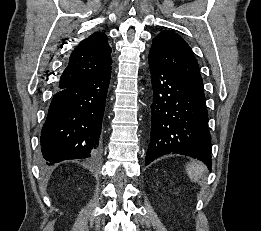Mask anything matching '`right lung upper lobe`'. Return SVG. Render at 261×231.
<instances>
[{"label": "right lung upper lobe", "instance_id": "1", "mask_svg": "<svg viewBox=\"0 0 261 231\" xmlns=\"http://www.w3.org/2000/svg\"><path fill=\"white\" fill-rule=\"evenodd\" d=\"M111 48L104 33L95 32L82 40L72 51L59 81L64 89L99 75L111 67Z\"/></svg>", "mask_w": 261, "mask_h": 231}]
</instances>
